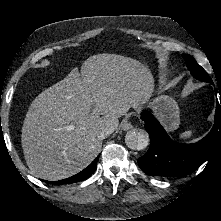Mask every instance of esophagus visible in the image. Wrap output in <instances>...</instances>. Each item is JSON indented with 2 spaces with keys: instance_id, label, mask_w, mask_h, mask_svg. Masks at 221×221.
I'll list each match as a JSON object with an SVG mask.
<instances>
[{
  "instance_id": "obj_1",
  "label": "esophagus",
  "mask_w": 221,
  "mask_h": 221,
  "mask_svg": "<svg viewBox=\"0 0 221 221\" xmlns=\"http://www.w3.org/2000/svg\"><path fill=\"white\" fill-rule=\"evenodd\" d=\"M133 128V125L131 124L130 121L125 120L122 124V130L127 131Z\"/></svg>"
}]
</instances>
